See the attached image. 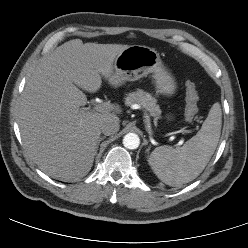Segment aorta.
<instances>
[{
    "label": "aorta",
    "instance_id": "aorta-1",
    "mask_svg": "<svg viewBox=\"0 0 248 248\" xmlns=\"http://www.w3.org/2000/svg\"><path fill=\"white\" fill-rule=\"evenodd\" d=\"M140 144V139L135 133H128L123 138V145L127 149H137Z\"/></svg>",
    "mask_w": 248,
    "mask_h": 248
}]
</instances>
